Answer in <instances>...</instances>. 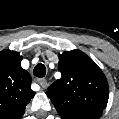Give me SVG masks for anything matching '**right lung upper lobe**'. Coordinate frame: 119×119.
<instances>
[{"label": "right lung upper lobe", "mask_w": 119, "mask_h": 119, "mask_svg": "<svg viewBox=\"0 0 119 119\" xmlns=\"http://www.w3.org/2000/svg\"><path fill=\"white\" fill-rule=\"evenodd\" d=\"M21 60L18 52H0V119H21L35 95L30 88L31 76L21 67Z\"/></svg>", "instance_id": "obj_1"}]
</instances>
